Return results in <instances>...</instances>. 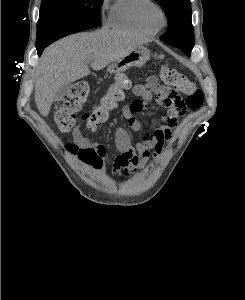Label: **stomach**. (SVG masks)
Instances as JSON below:
<instances>
[{
    "instance_id": "stomach-1",
    "label": "stomach",
    "mask_w": 245,
    "mask_h": 300,
    "mask_svg": "<svg viewBox=\"0 0 245 300\" xmlns=\"http://www.w3.org/2000/svg\"><path fill=\"white\" fill-rule=\"evenodd\" d=\"M150 58V51L144 47H138L121 57L120 59L112 62L108 67L110 74L123 73L130 67H142Z\"/></svg>"
}]
</instances>
